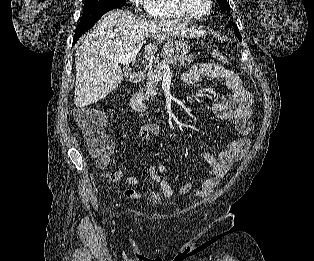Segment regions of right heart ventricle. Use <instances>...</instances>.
I'll use <instances>...</instances> for the list:
<instances>
[{
  "label": "right heart ventricle",
  "mask_w": 314,
  "mask_h": 261,
  "mask_svg": "<svg viewBox=\"0 0 314 261\" xmlns=\"http://www.w3.org/2000/svg\"><path fill=\"white\" fill-rule=\"evenodd\" d=\"M147 12L152 17L189 20L174 4L173 0H150Z\"/></svg>",
  "instance_id": "1"
}]
</instances>
